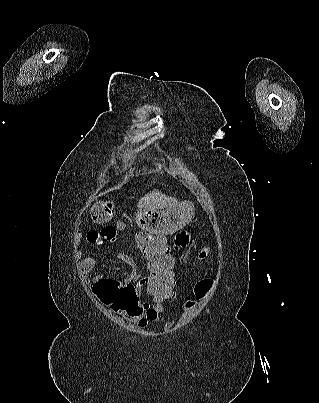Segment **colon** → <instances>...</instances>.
Wrapping results in <instances>:
<instances>
[{"label": "colon", "instance_id": "obj_1", "mask_svg": "<svg viewBox=\"0 0 319 403\" xmlns=\"http://www.w3.org/2000/svg\"><path fill=\"white\" fill-rule=\"evenodd\" d=\"M109 202V199L106 198L103 203L93 209V219L95 222L107 220L112 210ZM168 239V234H141L134 241V248L137 254H142V257L145 258V267L150 268V270H147V279H149V282H146L145 288L152 304H171L174 297L173 290L176 287L177 281L173 268H177V259H172L171 252H165V249L168 248ZM208 251L209 248L204 246L198 252V255L203 257ZM211 288L212 283L209 276H196L195 296L184 297V308H179L177 315L185 317L187 311L193 305L199 304L198 298H204L206 290Z\"/></svg>", "mask_w": 319, "mask_h": 403}]
</instances>
